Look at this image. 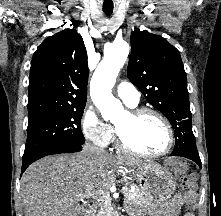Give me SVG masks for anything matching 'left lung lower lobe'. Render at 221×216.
Segmentation results:
<instances>
[{
  "label": "left lung lower lobe",
  "instance_id": "1",
  "mask_svg": "<svg viewBox=\"0 0 221 216\" xmlns=\"http://www.w3.org/2000/svg\"><path fill=\"white\" fill-rule=\"evenodd\" d=\"M170 156H182L196 162L200 167L202 166L199 154L193 151L190 147H185L183 145H175L173 152Z\"/></svg>",
  "mask_w": 221,
  "mask_h": 216
}]
</instances>
